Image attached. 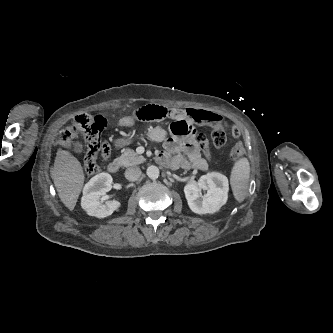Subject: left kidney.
Returning a JSON list of instances; mask_svg holds the SVG:
<instances>
[{
  "label": "left kidney",
  "instance_id": "left-kidney-1",
  "mask_svg": "<svg viewBox=\"0 0 333 333\" xmlns=\"http://www.w3.org/2000/svg\"><path fill=\"white\" fill-rule=\"evenodd\" d=\"M201 190H206L207 194L202 195ZM228 191L227 177L218 172H209L202 175L197 184L189 183L184 187L188 205L197 214L219 211L227 201Z\"/></svg>",
  "mask_w": 333,
  "mask_h": 333
}]
</instances>
